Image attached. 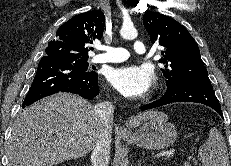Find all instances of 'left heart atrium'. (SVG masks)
<instances>
[{"label": "left heart atrium", "instance_id": "1", "mask_svg": "<svg viewBox=\"0 0 231 166\" xmlns=\"http://www.w3.org/2000/svg\"><path fill=\"white\" fill-rule=\"evenodd\" d=\"M154 80L148 66L126 65L113 68L108 73L109 83L122 95L135 98L145 95Z\"/></svg>", "mask_w": 231, "mask_h": 166}]
</instances>
